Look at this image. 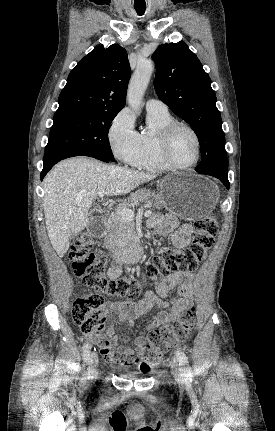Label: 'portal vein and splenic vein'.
I'll list each match as a JSON object with an SVG mask.
<instances>
[{
  "instance_id": "obj_1",
  "label": "portal vein and splenic vein",
  "mask_w": 275,
  "mask_h": 431,
  "mask_svg": "<svg viewBox=\"0 0 275 431\" xmlns=\"http://www.w3.org/2000/svg\"><path fill=\"white\" fill-rule=\"evenodd\" d=\"M98 195L100 198H103L105 195V191L104 190H100L98 192ZM116 213L123 219L125 220H133L134 219V211L130 208H123V209H118L116 210ZM152 212L150 210L145 211L144 216L145 217H149L151 216Z\"/></svg>"
}]
</instances>
